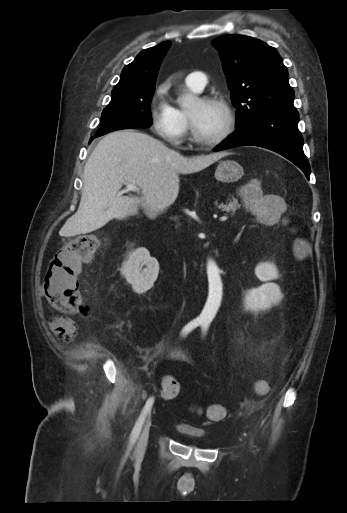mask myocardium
Instances as JSON below:
<instances>
[{
    "instance_id": "obj_1",
    "label": "myocardium",
    "mask_w": 347,
    "mask_h": 513,
    "mask_svg": "<svg viewBox=\"0 0 347 513\" xmlns=\"http://www.w3.org/2000/svg\"><path fill=\"white\" fill-rule=\"evenodd\" d=\"M200 100L205 103H212V104H216V105L220 106L225 113L226 124H225L223 131L218 136H216L212 139H204V138L200 137L194 127V124H193L190 116H188L191 135H192V139L194 140V142H196L198 145H201L204 147H214V146L220 144L221 142H223L234 131L235 116H234L231 106L223 98L205 96V97H202Z\"/></svg>"
}]
</instances>
